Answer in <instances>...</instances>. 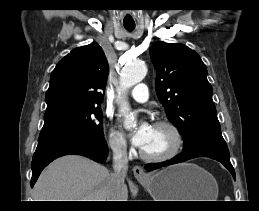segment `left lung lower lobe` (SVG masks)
<instances>
[{
  "label": "left lung lower lobe",
  "mask_w": 259,
  "mask_h": 211,
  "mask_svg": "<svg viewBox=\"0 0 259 211\" xmlns=\"http://www.w3.org/2000/svg\"><path fill=\"white\" fill-rule=\"evenodd\" d=\"M197 157H209L221 162L232 174L235 179V171L230 162L229 150L227 145L215 143H203L189 150L183 151L173 159L162 163H152L145 166L147 171L158 169L164 166L177 164Z\"/></svg>",
  "instance_id": "0a47b994"
}]
</instances>
